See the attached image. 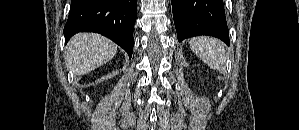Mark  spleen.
Returning a JSON list of instances; mask_svg holds the SVG:
<instances>
[{
  "label": "spleen",
  "mask_w": 299,
  "mask_h": 130,
  "mask_svg": "<svg viewBox=\"0 0 299 130\" xmlns=\"http://www.w3.org/2000/svg\"><path fill=\"white\" fill-rule=\"evenodd\" d=\"M191 50L211 69L223 70L226 52L223 42L206 36L192 38L189 41Z\"/></svg>",
  "instance_id": "3e777b00"
}]
</instances>
